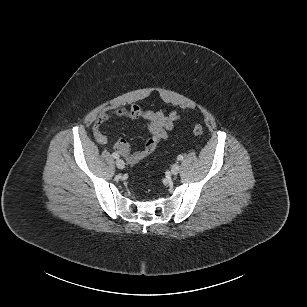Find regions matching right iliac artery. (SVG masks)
<instances>
[{"mask_svg":"<svg viewBox=\"0 0 307 307\" xmlns=\"http://www.w3.org/2000/svg\"><path fill=\"white\" fill-rule=\"evenodd\" d=\"M112 156H113V158H115V159H118V158H119V154L116 153V152H113V153H112Z\"/></svg>","mask_w":307,"mask_h":307,"instance_id":"obj_1","label":"right iliac artery"}]
</instances>
